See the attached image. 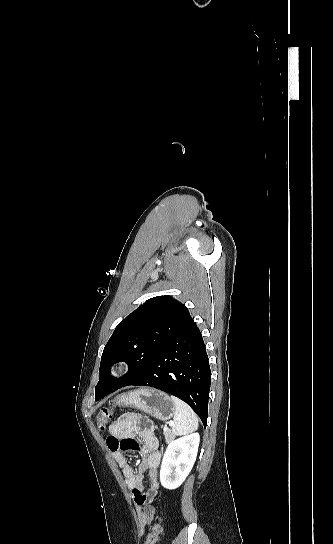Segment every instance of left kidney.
Masks as SVG:
<instances>
[{
	"label": "left kidney",
	"instance_id": "left-kidney-1",
	"mask_svg": "<svg viewBox=\"0 0 333 544\" xmlns=\"http://www.w3.org/2000/svg\"><path fill=\"white\" fill-rule=\"evenodd\" d=\"M199 441V433H192L169 442L160 469L163 487L176 489L184 482L196 460Z\"/></svg>",
	"mask_w": 333,
	"mask_h": 544
}]
</instances>
